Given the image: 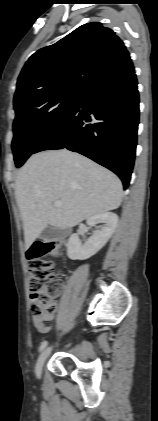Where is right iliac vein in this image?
<instances>
[{
  "label": "right iliac vein",
  "instance_id": "obj_1",
  "mask_svg": "<svg viewBox=\"0 0 158 421\" xmlns=\"http://www.w3.org/2000/svg\"><path fill=\"white\" fill-rule=\"evenodd\" d=\"M51 350H52L51 347H47L45 350L42 351V353L38 357L36 365H35V373H36L37 377L41 376L44 363H45L46 359L48 358Z\"/></svg>",
  "mask_w": 158,
  "mask_h": 421
}]
</instances>
